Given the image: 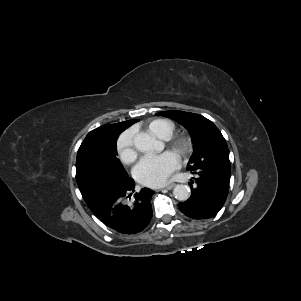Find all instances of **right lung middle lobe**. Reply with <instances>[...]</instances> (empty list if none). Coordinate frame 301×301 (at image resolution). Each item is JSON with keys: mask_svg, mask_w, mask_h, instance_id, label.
<instances>
[{"mask_svg": "<svg viewBox=\"0 0 301 301\" xmlns=\"http://www.w3.org/2000/svg\"><path fill=\"white\" fill-rule=\"evenodd\" d=\"M116 137L90 132L79 147L76 180L87 204L95 197L96 188L104 181L126 180L128 174L117 159Z\"/></svg>", "mask_w": 301, "mask_h": 301, "instance_id": "obj_1", "label": "right lung middle lobe"}]
</instances>
